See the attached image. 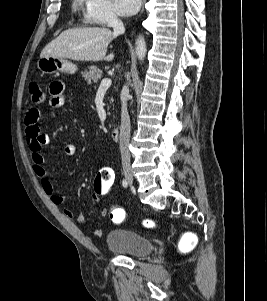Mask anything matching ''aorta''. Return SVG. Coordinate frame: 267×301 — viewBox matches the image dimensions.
<instances>
[{
	"label": "aorta",
	"mask_w": 267,
	"mask_h": 301,
	"mask_svg": "<svg viewBox=\"0 0 267 301\" xmlns=\"http://www.w3.org/2000/svg\"><path fill=\"white\" fill-rule=\"evenodd\" d=\"M136 56L142 61L146 55V42L143 36H138L135 47Z\"/></svg>",
	"instance_id": "obj_1"
}]
</instances>
